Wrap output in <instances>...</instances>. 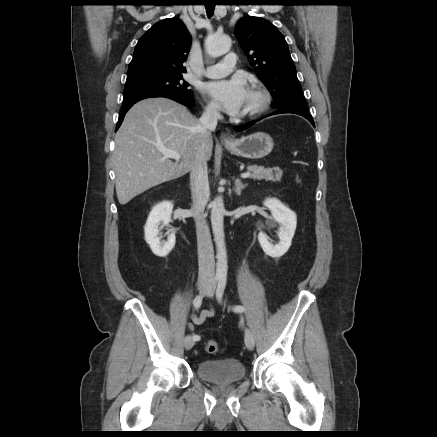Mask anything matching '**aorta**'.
<instances>
[{"label":"aorta","instance_id":"762f6f07","mask_svg":"<svg viewBox=\"0 0 437 437\" xmlns=\"http://www.w3.org/2000/svg\"><path fill=\"white\" fill-rule=\"evenodd\" d=\"M231 38L228 35H211L205 41V48L211 57H219L230 50ZM225 208L222 196H217L211 203V224L216 244V275L226 278L227 276V252L224 235Z\"/></svg>","mask_w":437,"mask_h":437}]
</instances>
